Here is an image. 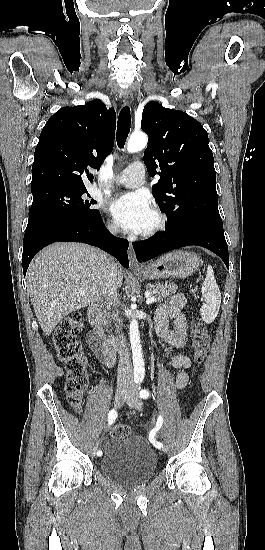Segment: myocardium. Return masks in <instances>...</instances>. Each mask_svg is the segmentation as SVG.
I'll return each mask as SVG.
<instances>
[{"label":"myocardium","instance_id":"f54148a6","mask_svg":"<svg viewBox=\"0 0 265 550\" xmlns=\"http://www.w3.org/2000/svg\"><path fill=\"white\" fill-rule=\"evenodd\" d=\"M152 214L155 217V224L150 229L140 232L139 235L143 238L153 237L165 230L167 226V218L160 210L153 209Z\"/></svg>","mask_w":265,"mask_h":550}]
</instances>
